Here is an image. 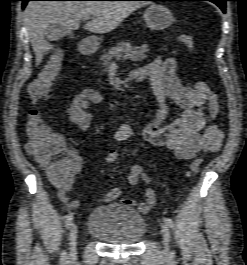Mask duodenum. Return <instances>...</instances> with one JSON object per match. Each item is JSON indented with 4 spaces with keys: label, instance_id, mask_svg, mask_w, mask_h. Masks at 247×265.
I'll list each match as a JSON object with an SVG mask.
<instances>
[{
    "label": "duodenum",
    "instance_id": "1",
    "mask_svg": "<svg viewBox=\"0 0 247 265\" xmlns=\"http://www.w3.org/2000/svg\"><path fill=\"white\" fill-rule=\"evenodd\" d=\"M80 53L84 56L93 54L96 52L97 48L95 43L90 39H84L79 46Z\"/></svg>",
    "mask_w": 247,
    "mask_h": 265
}]
</instances>
